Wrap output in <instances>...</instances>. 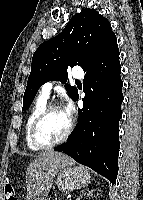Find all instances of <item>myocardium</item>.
Returning a JSON list of instances; mask_svg holds the SVG:
<instances>
[{"label": "myocardium", "instance_id": "1", "mask_svg": "<svg viewBox=\"0 0 143 200\" xmlns=\"http://www.w3.org/2000/svg\"><path fill=\"white\" fill-rule=\"evenodd\" d=\"M54 110H64V109L61 105L57 103H48L32 124L31 131H30L31 140H32V143L40 149H48V148L57 146L65 142L69 138L70 134L72 133V130L74 127V121L70 117L68 128L65 131V133L62 135V137L52 142H44L40 139L39 129L42 123L44 122V120L46 119V117Z\"/></svg>", "mask_w": 143, "mask_h": 200}]
</instances>
